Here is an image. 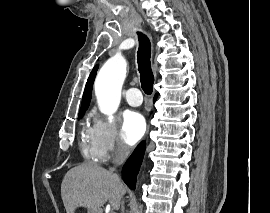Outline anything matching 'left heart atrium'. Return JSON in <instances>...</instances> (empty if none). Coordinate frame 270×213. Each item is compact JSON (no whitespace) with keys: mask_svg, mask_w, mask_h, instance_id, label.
Listing matches in <instances>:
<instances>
[{"mask_svg":"<svg viewBox=\"0 0 270 213\" xmlns=\"http://www.w3.org/2000/svg\"><path fill=\"white\" fill-rule=\"evenodd\" d=\"M146 130L145 119L139 112L130 111L124 116L121 139L127 145H134L144 135Z\"/></svg>","mask_w":270,"mask_h":213,"instance_id":"1","label":"left heart atrium"}]
</instances>
